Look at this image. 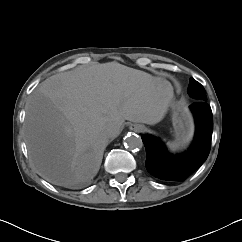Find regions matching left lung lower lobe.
Segmentation results:
<instances>
[{"label": "left lung lower lobe", "instance_id": "obj_1", "mask_svg": "<svg viewBox=\"0 0 242 242\" xmlns=\"http://www.w3.org/2000/svg\"><path fill=\"white\" fill-rule=\"evenodd\" d=\"M196 121L194 143L180 155L170 154L164 144L151 135L142 136L146 148V169L154 177L167 181H184L207 159L213 129L210 106L196 101L191 106Z\"/></svg>", "mask_w": 242, "mask_h": 242}]
</instances>
